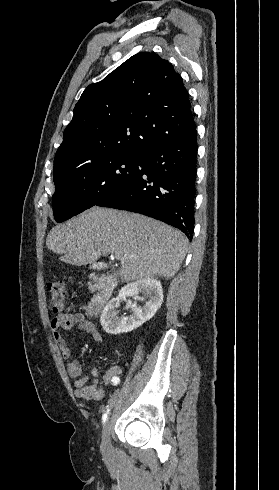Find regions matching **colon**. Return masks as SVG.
I'll list each match as a JSON object with an SVG mask.
<instances>
[{"label": "colon", "instance_id": "1", "mask_svg": "<svg viewBox=\"0 0 279 490\" xmlns=\"http://www.w3.org/2000/svg\"><path fill=\"white\" fill-rule=\"evenodd\" d=\"M47 289L51 296V303L54 311L57 313H61L65 305L64 283L59 280H51L48 282Z\"/></svg>", "mask_w": 279, "mask_h": 490}]
</instances>
